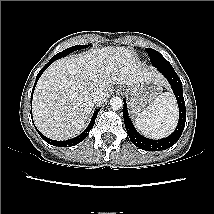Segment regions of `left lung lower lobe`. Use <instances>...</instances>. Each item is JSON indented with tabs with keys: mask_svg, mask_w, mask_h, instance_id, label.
<instances>
[{
	"mask_svg": "<svg viewBox=\"0 0 214 214\" xmlns=\"http://www.w3.org/2000/svg\"><path fill=\"white\" fill-rule=\"evenodd\" d=\"M157 70L167 78L175 94L179 107V122L175 131L166 138L160 140L145 138L134 128L133 123L128 115L126 101L124 100L123 117L129 138L135 146L146 151H160L172 147L182 135L186 122V108L183 98L182 82L180 78L174 71L173 67L157 68Z\"/></svg>",
	"mask_w": 214,
	"mask_h": 214,
	"instance_id": "left-lung-lower-lobe-1",
	"label": "left lung lower lobe"
}]
</instances>
